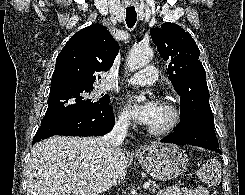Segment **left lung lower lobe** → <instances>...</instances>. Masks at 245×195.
Segmentation results:
<instances>
[{
  "label": "left lung lower lobe",
  "mask_w": 245,
  "mask_h": 195,
  "mask_svg": "<svg viewBox=\"0 0 245 195\" xmlns=\"http://www.w3.org/2000/svg\"><path fill=\"white\" fill-rule=\"evenodd\" d=\"M213 126L214 123L201 119L184 120L176 127L174 133L163 138L161 142L178 145L190 144L221 154Z\"/></svg>",
  "instance_id": "obj_1"
}]
</instances>
